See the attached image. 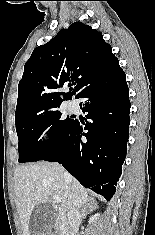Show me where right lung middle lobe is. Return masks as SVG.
Returning <instances> with one entry per match:
<instances>
[{
	"mask_svg": "<svg viewBox=\"0 0 155 235\" xmlns=\"http://www.w3.org/2000/svg\"><path fill=\"white\" fill-rule=\"evenodd\" d=\"M58 108L29 111L15 118L19 140V163L44 160L64 144L75 120L71 117L63 119ZM48 127H51L49 129L50 140L38 141Z\"/></svg>",
	"mask_w": 155,
	"mask_h": 235,
	"instance_id": "obj_1",
	"label": "right lung middle lobe"
}]
</instances>
